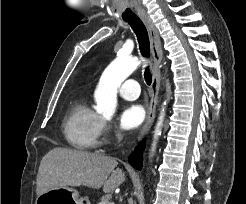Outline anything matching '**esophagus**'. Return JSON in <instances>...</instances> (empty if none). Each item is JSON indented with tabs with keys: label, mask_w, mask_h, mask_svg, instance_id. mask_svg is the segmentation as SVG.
I'll use <instances>...</instances> for the list:
<instances>
[{
	"label": "esophagus",
	"mask_w": 246,
	"mask_h": 204,
	"mask_svg": "<svg viewBox=\"0 0 246 204\" xmlns=\"http://www.w3.org/2000/svg\"><path fill=\"white\" fill-rule=\"evenodd\" d=\"M140 18L145 24L149 32L151 52L153 57V67H152V84H151V91H150V102L148 105L147 117L145 123L138 137V142L149 131L155 118L156 105H157L158 93L160 88L159 68L163 59V54L160 46V37L157 28L155 27L153 21L148 15L146 14L141 15Z\"/></svg>",
	"instance_id": "esophagus-1"
}]
</instances>
